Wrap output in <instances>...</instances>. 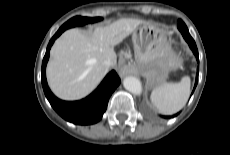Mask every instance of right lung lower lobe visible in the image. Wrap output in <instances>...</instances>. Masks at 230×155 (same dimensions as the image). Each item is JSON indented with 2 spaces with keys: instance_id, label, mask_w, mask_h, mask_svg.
Returning <instances> with one entry per match:
<instances>
[{
  "instance_id": "right-lung-lower-lobe-1",
  "label": "right lung lower lobe",
  "mask_w": 230,
  "mask_h": 155,
  "mask_svg": "<svg viewBox=\"0 0 230 155\" xmlns=\"http://www.w3.org/2000/svg\"><path fill=\"white\" fill-rule=\"evenodd\" d=\"M63 31L59 29L50 40L46 54L43 58L41 69V82L45 96L54 110L65 120L79 125L94 124L101 120L103 113L106 111L109 98L113 91L120 84V79L115 71H111L99 87L88 97L80 101L66 102L56 98L50 91L46 81V64L49 59L50 48L55 39Z\"/></svg>"
}]
</instances>
